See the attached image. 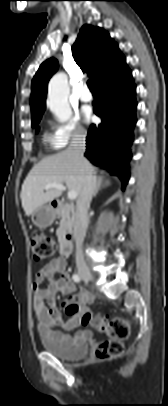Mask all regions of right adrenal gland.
<instances>
[{"label":"right adrenal gland","instance_id":"2a0ac1e0","mask_svg":"<svg viewBox=\"0 0 168 406\" xmlns=\"http://www.w3.org/2000/svg\"><path fill=\"white\" fill-rule=\"evenodd\" d=\"M109 185H110L109 180H105L103 176L97 177L96 188H95L93 197H96L97 193L99 192V190H101L102 187H107Z\"/></svg>","mask_w":168,"mask_h":406}]
</instances>
